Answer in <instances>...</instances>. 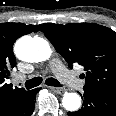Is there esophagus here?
Segmentation results:
<instances>
[{
	"mask_svg": "<svg viewBox=\"0 0 116 116\" xmlns=\"http://www.w3.org/2000/svg\"><path fill=\"white\" fill-rule=\"evenodd\" d=\"M49 88L59 94H63L66 92L65 88H59V87H53V86H49Z\"/></svg>",
	"mask_w": 116,
	"mask_h": 116,
	"instance_id": "34e87169",
	"label": "esophagus"
}]
</instances>
